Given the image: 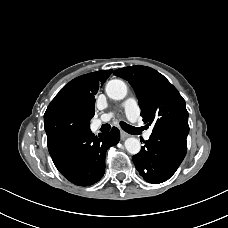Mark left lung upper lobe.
Instances as JSON below:
<instances>
[{
	"instance_id": "obj_1",
	"label": "left lung upper lobe",
	"mask_w": 228,
	"mask_h": 228,
	"mask_svg": "<svg viewBox=\"0 0 228 228\" xmlns=\"http://www.w3.org/2000/svg\"><path fill=\"white\" fill-rule=\"evenodd\" d=\"M133 87L141 116L153 132H172L187 138L188 112L178 90L158 71L146 66H129L114 71Z\"/></svg>"
}]
</instances>
